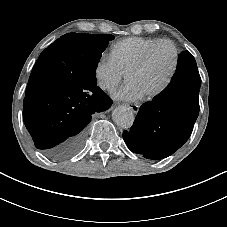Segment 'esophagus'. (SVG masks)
Returning <instances> with one entry per match:
<instances>
[{"mask_svg":"<svg viewBox=\"0 0 227 227\" xmlns=\"http://www.w3.org/2000/svg\"><path fill=\"white\" fill-rule=\"evenodd\" d=\"M127 107L130 108L134 113H137L140 108V106L137 104H127Z\"/></svg>","mask_w":227,"mask_h":227,"instance_id":"obj_1","label":"esophagus"}]
</instances>
